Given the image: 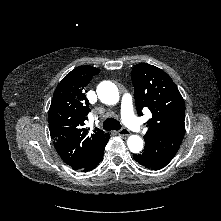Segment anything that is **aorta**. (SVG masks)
Listing matches in <instances>:
<instances>
[{"mask_svg":"<svg viewBox=\"0 0 221 221\" xmlns=\"http://www.w3.org/2000/svg\"><path fill=\"white\" fill-rule=\"evenodd\" d=\"M97 95L104 104L114 105L119 101L118 88L110 81H103L98 85ZM127 145L132 153H139L143 149V140L138 135H131L127 140Z\"/></svg>","mask_w":221,"mask_h":221,"instance_id":"aorta-1","label":"aorta"}]
</instances>
